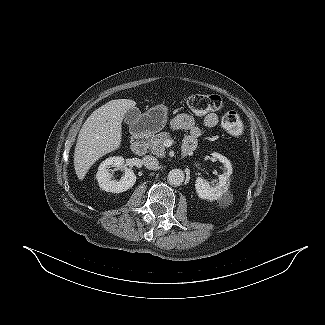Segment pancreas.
<instances>
[{
	"instance_id": "cf45deb5",
	"label": "pancreas",
	"mask_w": 325,
	"mask_h": 325,
	"mask_svg": "<svg viewBox=\"0 0 325 325\" xmlns=\"http://www.w3.org/2000/svg\"><path fill=\"white\" fill-rule=\"evenodd\" d=\"M171 135L168 132H161L155 135L149 144V149L152 154L156 155L157 157H164L165 156V146L164 142L167 139H170Z\"/></svg>"
}]
</instances>
